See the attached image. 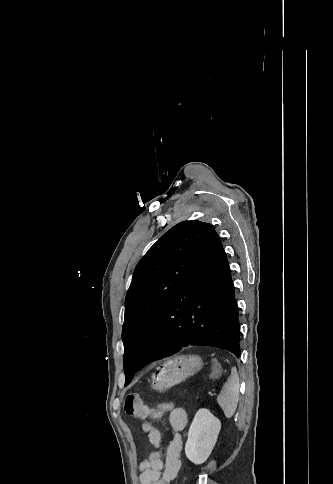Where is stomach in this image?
<instances>
[{"label":"stomach","instance_id":"0dacf381","mask_svg":"<svg viewBox=\"0 0 333 484\" xmlns=\"http://www.w3.org/2000/svg\"><path fill=\"white\" fill-rule=\"evenodd\" d=\"M203 366L198 355H177L156 367L152 374V388L164 392L196 374Z\"/></svg>","mask_w":333,"mask_h":484}]
</instances>
